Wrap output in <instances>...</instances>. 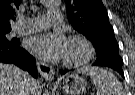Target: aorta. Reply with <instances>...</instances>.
<instances>
[{
	"label": "aorta",
	"instance_id": "obj_1",
	"mask_svg": "<svg viewBox=\"0 0 135 95\" xmlns=\"http://www.w3.org/2000/svg\"><path fill=\"white\" fill-rule=\"evenodd\" d=\"M42 1V3L44 4V5H46V6H54V5H56L57 3H58V0H41ZM45 95H48V91L47 92H45Z\"/></svg>",
	"mask_w": 135,
	"mask_h": 95
}]
</instances>
